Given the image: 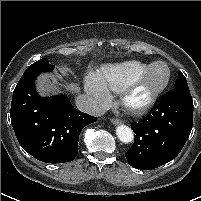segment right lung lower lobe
<instances>
[{"label": "right lung lower lobe", "mask_w": 201, "mask_h": 201, "mask_svg": "<svg viewBox=\"0 0 201 201\" xmlns=\"http://www.w3.org/2000/svg\"><path fill=\"white\" fill-rule=\"evenodd\" d=\"M53 65L29 66L13 92L11 124L21 147L45 163H65L78 153L81 130L97 118L75 109L66 96L40 97L36 77Z\"/></svg>", "instance_id": "right-lung-lower-lobe-1"}]
</instances>
